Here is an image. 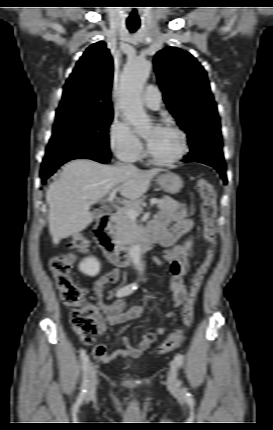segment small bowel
<instances>
[{"mask_svg":"<svg viewBox=\"0 0 273 430\" xmlns=\"http://www.w3.org/2000/svg\"><path fill=\"white\" fill-rule=\"evenodd\" d=\"M171 221L176 224L167 229L166 225ZM193 222L187 217L186 211L178 212L163 211L158 218L149 227L148 232L157 237V242L166 248L162 258L154 257L153 261L158 266L168 267L171 279L170 290L172 301L175 307L181 306L186 298L187 290L184 284V276L189 269L190 252L187 247L178 244L179 239L187 234ZM121 277V271L116 269L110 273L101 276L93 286V293L97 299L98 305V329L101 334L106 332L107 324L114 326L125 324L139 319L145 308L139 305H132L126 308L122 299H116L110 303L104 301V289L108 284L115 283ZM193 278H190L192 282ZM167 317H173L174 312L169 311ZM166 333L165 327H158L155 331L146 332L136 344H133L126 336L121 337L124 345L123 349H117L111 353L108 352L107 346L100 343L93 349V355L100 361L107 363L116 358H138L147 351L156 341L158 336Z\"/></svg>","mask_w":273,"mask_h":430,"instance_id":"1","label":"small bowel"}]
</instances>
